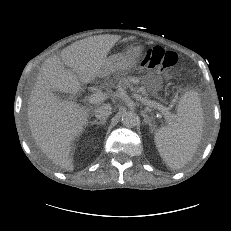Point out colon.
<instances>
[{
    "instance_id": "obj_1",
    "label": "colon",
    "mask_w": 231,
    "mask_h": 231,
    "mask_svg": "<svg viewBox=\"0 0 231 231\" xmlns=\"http://www.w3.org/2000/svg\"><path fill=\"white\" fill-rule=\"evenodd\" d=\"M178 57L172 51H166L159 46L149 48L142 56L141 66L149 69H169L177 63Z\"/></svg>"
}]
</instances>
